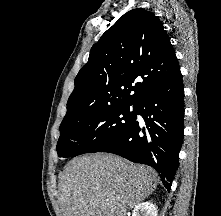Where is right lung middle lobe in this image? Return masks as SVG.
<instances>
[{
	"label": "right lung middle lobe",
	"instance_id": "dd1d6c3e",
	"mask_svg": "<svg viewBox=\"0 0 221 216\" xmlns=\"http://www.w3.org/2000/svg\"><path fill=\"white\" fill-rule=\"evenodd\" d=\"M118 105L91 112L75 122H62L57 143L59 157L99 152L136 120V105Z\"/></svg>",
	"mask_w": 221,
	"mask_h": 216
}]
</instances>
